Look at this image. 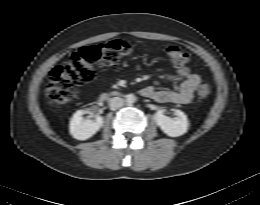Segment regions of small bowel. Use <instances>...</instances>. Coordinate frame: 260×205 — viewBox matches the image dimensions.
Wrapping results in <instances>:
<instances>
[{
  "mask_svg": "<svg viewBox=\"0 0 260 205\" xmlns=\"http://www.w3.org/2000/svg\"><path fill=\"white\" fill-rule=\"evenodd\" d=\"M177 74L182 78L176 90L155 89L147 86L141 89L143 97L151 98L158 103L187 105L192 101L193 92L196 89L200 77L190 67L182 65L177 69Z\"/></svg>",
  "mask_w": 260,
  "mask_h": 205,
  "instance_id": "c3829d8e",
  "label": "small bowel"
}]
</instances>
